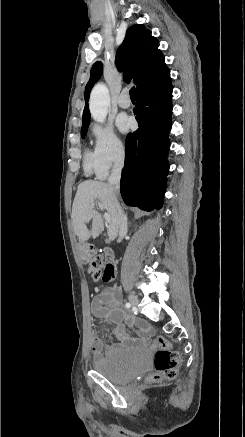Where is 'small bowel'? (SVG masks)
I'll return each instance as SVG.
<instances>
[{"instance_id": "obj_1", "label": "small bowel", "mask_w": 245, "mask_h": 437, "mask_svg": "<svg viewBox=\"0 0 245 437\" xmlns=\"http://www.w3.org/2000/svg\"><path fill=\"white\" fill-rule=\"evenodd\" d=\"M91 313L96 318L115 324L113 334L122 344L127 345L135 342L125 331V325H132L135 320L120 308L118 291L115 288H106L94 298ZM141 330L143 333L149 331L145 324H141ZM114 348V346H104L98 336L91 338V351L97 359L101 358L104 349L109 351Z\"/></svg>"}]
</instances>
